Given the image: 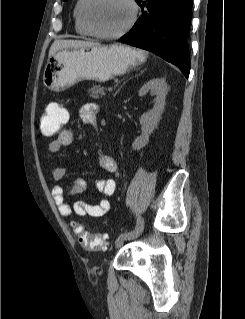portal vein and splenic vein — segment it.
I'll return each instance as SVG.
<instances>
[{"mask_svg":"<svg viewBox=\"0 0 245 319\" xmlns=\"http://www.w3.org/2000/svg\"><path fill=\"white\" fill-rule=\"evenodd\" d=\"M108 91L112 92L113 91V87H108Z\"/></svg>","mask_w":245,"mask_h":319,"instance_id":"portal-vein-and-splenic-vein-1","label":"portal vein and splenic vein"}]
</instances>
